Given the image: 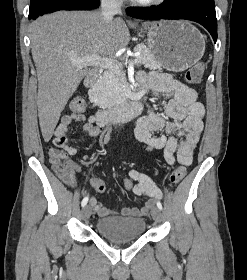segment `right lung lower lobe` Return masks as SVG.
<instances>
[{"label":"right lung lower lobe","mask_w":247,"mask_h":280,"mask_svg":"<svg viewBox=\"0 0 247 280\" xmlns=\"http://www.w3.org/2000/svg\"><path fill=\"white\" fill-rule=\"evenodd\" d=\"M100 4L99 0H46L39 7L29 11V19L43 14L68 9H92Z\"/></svg>","instance_id":"98d812e1"}]
</instances>
